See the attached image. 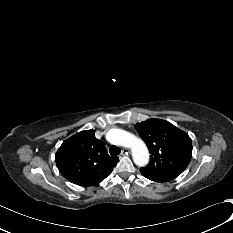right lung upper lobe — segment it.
Wrapping results in <instances>:
<instances>
[{"label": "right lung upper lobe", "instance_id": "obj_1", "mask_svg": "<svg viewBox=\"0 0 233 233\" xmlns=\"http://www.w3.org/2000/svg\"><path fill=\"white\" fill-rule=\"evenodd\" d=\"M55 160L67 180L88 187L109 176L119 159L108 155L94 130H85L65 140L56 152Z\"/></svg>", "mask_w": 233, "mask_h": 233}]
</instances>
